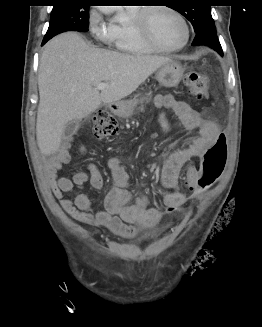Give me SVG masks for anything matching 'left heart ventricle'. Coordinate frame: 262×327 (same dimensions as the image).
<instances>
[{
    "label": "left heart ventricle",
    "mask_w": 262,
    "mask_h": 327,
    "mask_svg": "<svg viewBox=\"0 0 262 327\" xmlns=\"http://www.w3.org/2000/svg\"><path fill=\"white\" fill-rule=\"evenodd\" d=\"M150 29L154 38L165 47H177L185 39L182 22L171 12L156 10L150 14Z\"/></svg>",
    "instance_id": "obj_1"
}]
</instances>
